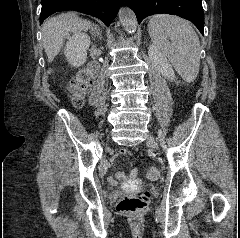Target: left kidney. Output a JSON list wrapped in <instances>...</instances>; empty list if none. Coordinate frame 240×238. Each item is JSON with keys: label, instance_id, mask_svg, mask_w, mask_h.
<instances>
[{"label": "left kidney", "instance_id": "1", "mask_svg": "<svg viewBox=\"0 0 240 238\" xmlns=\"http://www.w3.org/2000/svg\"><path fill=\"white\" fill-rule=\"evenodd\" d=\"M148 55L152 64L167 79L173 80L175 73L165 54L162 53L154 44L149 46Z\"/></svg>", "mask_w": 240, "mask_h": 238}]
</instances>
